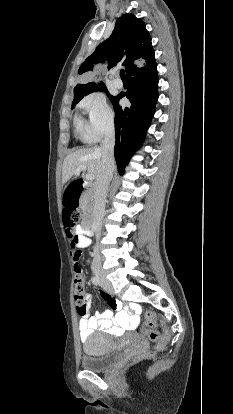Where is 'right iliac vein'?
<instances>
[{
    "mask_svg": "<svg viewBox=\"0 0 233 414\" xmlns=\"http://www.w3.org/2000/svg\"><path fill=\"white\" fill-rule=\"evenodd\" d=\"M94 273H95L96 277L100 280V282L103 285V287L105 288V290L111 292L112 291V285L107 280V278H106L105 274L103 273V271L100 270V269H95Z\"/></svg>",
    "mask_w": 233,
    "mask_h": 414,
    "instance_id": "right-iliac-vein-1",
    "label": "right iliac vein"
}]
</instances>
